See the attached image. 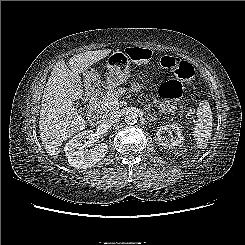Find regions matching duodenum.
<instances>
[{"mask_svg": "<svg viewBox=\"0 0 245 245\" xmlns=\"http://www.w3.org/2000/svg\"><path fill=\"white\" fill-rule=\"evenodd\" d=\"M105 92V87L103 85H96L95 87L92 88L88 95V99L90 101H95L98 98H100ZM91 119L92 120H97L98 119V111L93 109L91 111Z\"/></svg>", "mask_w": 245, "mask_h": 245, "instance_id": "obj_1", "label": "duodenum"}]
</instances>
